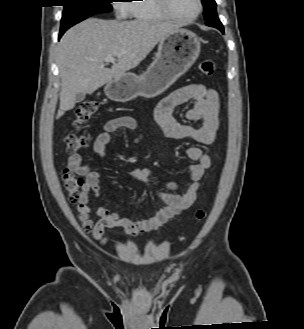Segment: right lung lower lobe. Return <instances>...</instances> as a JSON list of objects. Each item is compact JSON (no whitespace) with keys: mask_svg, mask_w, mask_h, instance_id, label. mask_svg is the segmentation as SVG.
<instances>
[{"mask_svg":"<svg viewBox=\"0 0 304 329\" xmlns=\"http://www.w3.org/2000/svg\"><path fill=\"white\" fill-rule=\"evenodd\" d=\"M65 31H60L59 38L63 35Z\"/></svg>","mask_w":304,"mask_h":329,"instance_id":"98d812e1","label":"right lung lower lobe"}]
</instances>
